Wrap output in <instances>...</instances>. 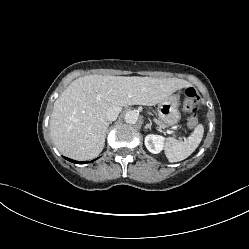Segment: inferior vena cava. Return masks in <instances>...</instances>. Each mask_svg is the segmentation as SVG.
<instances>
[{"label":"inferior vena cava","mask_w":249,"mask_h":249,"mask_svg":"<svg viewBox=\"0 0 249 249\" xmlns=\"http://www.w3.org/2000/svg\"><path fill=\"white\" fill-rule=\"evenodd\" d=\"M122 107L121 106H112L110 107L106 112V119L108 121H115L121 112Z\"/></svg>","instance_id":"602c4592"}]
</instances>
